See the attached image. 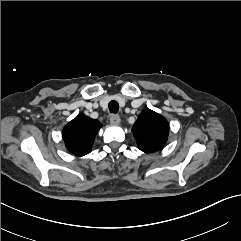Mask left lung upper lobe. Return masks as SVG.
Listing matches in <instances>:
<instances>
[{
  "label": "left lung upper lobe",
  "instance_id": "5c2ea615",
  "mask_svg": "<svg viewBox=\"0 0 241 241\" xmlns=\"http://www.w3.org/2000/svg\"><path fill=\"white\" fill-rule=\"evenodd\" d=\"M132 132L138 148L143 152L152 153L161 149L167 142L169 125L163 116L147 109L139 115Z\"/></svg>",
  "mask_w": 241,
  "mask_h": 241
}]
</instances>
